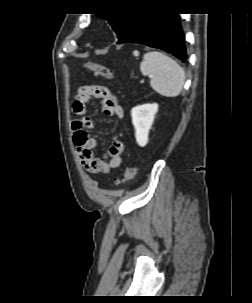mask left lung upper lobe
<instances>
[{
  "instance_id": "obj_1",
  "label": "left lung upper lobe",
  "mask_w": 252,
  "mask_h": 303,
  "mask_svg": "<svg viewBox=\"0 0 252 303\" xmlns=\"http://www.w3.org/2000/svg\"><path fill=\"white\" fill-rule=\"evenodd\" d=\"M110 23L112 29L117 34L119 40L124 38L128 33H130L134 27L138 24L141 18L145 15L144 12L135 13H111L99 15Z\"/></svg>"
}]
</instances>
